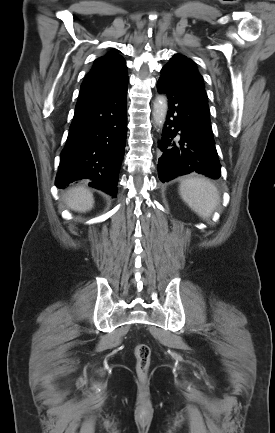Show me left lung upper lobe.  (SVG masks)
<instances>
[{
  "label": "left lung upper lobe",
  "instance_id": "1",
  "mask_svg": "<svg viewBox=\"0 0 275 433\" xmlns=\"http://www.w3.org/2000/svg\"><path fill=\"white\" fill-rule=\"evenodd\" d=\"M160 78L165 79L171 85L196 100L206 109L208 116L210 115L203 78L198 73L192 60L184 55L175 54L171 61L162 68Z\"/></svg>",
  "mask_w": 275,
  "mask_h": 433
}]
</instances>
